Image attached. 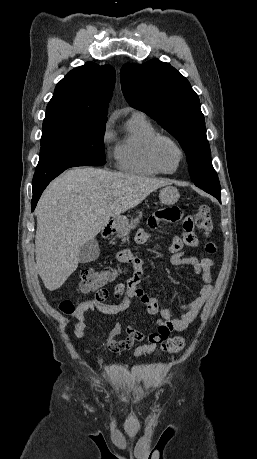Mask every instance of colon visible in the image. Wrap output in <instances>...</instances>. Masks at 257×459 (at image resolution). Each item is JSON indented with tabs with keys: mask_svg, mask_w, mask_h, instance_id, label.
Instances as JSON below:
<instances>
[{
	"mask_svg": "<svg viewBox=\"0 0 257 459\" xmlns=\"http://www.w3.org/2000/svg\"><path fill=\"white\" fill-rule=\"evenodd\" d=\"M192 220L195 223L194 229L205 235L213 228L211 210L208 206H201ZM116 275L117 271L111 268L96 270L91 266H85L79 273V285L82 291L95 292L96 298L103 301L108 298V291L104 286L113 280ZM60 309L64 313H71L75 310V305L69 300H63L60 303ZM184 346V338L175 336L163 343L162 350L166 353H176L181 351Z\"/></svg>",
	"mask_w": 257,
	"mask_h": 459,
	"instance_id": "colon-1",
	"label": "colon"
}]
</instances>
